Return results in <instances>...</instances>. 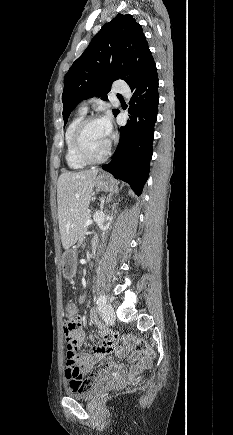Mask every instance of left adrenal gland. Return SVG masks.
Returning a JSON list of instances; mask_svg holds the SVG:
<instances>
[{
  "mask_svg": "<svg viewBox=\"0 0 233 435\" xmlns=\"http://www.w3.org/2000/svg\"><path fill=\"white\" fill-rule=\"evenodd\" d=\"M112 200V195L109 196L108 202Z\"/></svg>",
  "mask_w": 233,
  "mask_h": 435,
  "instance_id": "left-adrenal-gland-1",
  "label": "left adrenal gland"
}]
</instances>
